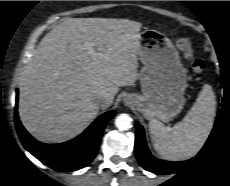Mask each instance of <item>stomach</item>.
Listing matches in <instances>:
<instances>
[{
	"label": "stomach",
	"instance_id": "0dacf381",
	"mask_svg": "<svg viewBox=\"0 0 230 186\" xmlns=\"http://www.w3.org/2000/svg\"><path fill=\"white\" fill-rule=\"evenodd\" d=\"M139 40L142 94H127L125 101L146 119L167 121L183 109L186 69L177 49L163 33L146 29Z\"/></svg>",
	"mask_w": 230,
	"mask_h": 186
}]
</instances>
